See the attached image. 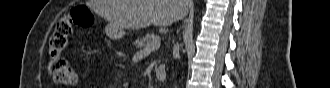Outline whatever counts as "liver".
I'll return each mask as SVG.
<instances>
[{
	"label": "liver",
	"instance_id": "6515ba94",
	"mask_svg": "<svg viewBox=\"0 0 330 88\" xmlns=\"http://www.w3.org/2000/svg\"><path fill=\"white\" fill-rule=\"evenodd\" d=\"M191 0H99L97 12L120 29H140L153 24L169 26L182 19Z\"/></svg>",
	"mask_w": 330,
	"mask_h": 88
}]
</instances>
